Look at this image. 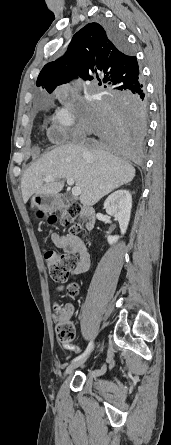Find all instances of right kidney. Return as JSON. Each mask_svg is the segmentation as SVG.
Returning a JSON list of instances; mask_svg holds the SVG:
<instances>
[{
  "label": "right kidney",
  "mask_w": 171,
  "mask_h": 445,
  "mask_svg": "<svg viewBox=\"0 0 171 445\" xmlns=\"http://www.w3.org/2000/svg\"><path fill=\"white\" fill-rule=\"evenodd\" d=\"M132 208V196L128 190H117L113 192L104 202V209L106 213L113 216L118 222L121 230V234L124 235L131 215ZM119 236L107 237V241L110 245L116 243Z\"/></svg>",
  "instance_id": "right-kidney-1"
}]
</instances>
